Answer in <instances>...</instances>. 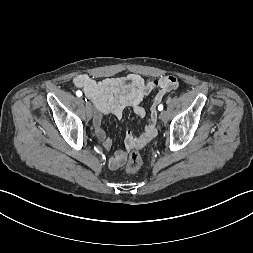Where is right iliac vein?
Listing matches in <instances>:
<instances>
[{
	"instance_id": "1",
	"label": "right iliac vein",
	"mask_w": 253,
	"mask_h": 253,
	"mask_svg": "<svg viewBox=\"0 0 253 253\" xmlns=\"http://www.w3.org/2000/svg\"><path fill=\"white\" fill-rule=\"evenodd\" d=\"M85 113H86L87 119L90 120L93 116V109H92V105L89 102L86 103Z\"/></svg>"
}]
</instances>
